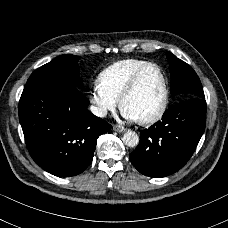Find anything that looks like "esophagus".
Listing matches in <instances>:
<instances>
[{
    "mask_svg": "<svg viewBox=\"0 0 228 228\" xmlns=\"http://www.w3.org/2000/svg\"><path fill=\"white\" fill-rule=\"evenodd\" d=\"M113 130L116 131V132H119V133L126 131V129L123 126L119 125V124H114L113 125Z\"/></svg>",
    "mask_w": 228,
    "mask_h": 228,
    "instance_id": "esophagus-1",
    "label": "esophagus"
}]
</instances>
